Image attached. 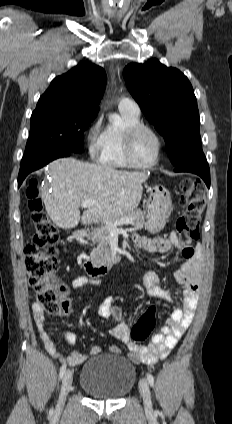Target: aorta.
Wrapping results in <instances>:
<instances>
[{"instance_id":"762f6f07","label":"aorta","mask_w":232,"mask_h":424,"mask_svg":"<svg viewBox=\"0 0 232 424\" xmlns=\"http://www.w3.org/2000/svg\"><path fill=\"white\" fill-rule=\"evenodd\" d=\"M117 117H118V116H117L116 114H113V115H111V116H110V119H111V120H115Z\"/></svg>"}]
</instances>
